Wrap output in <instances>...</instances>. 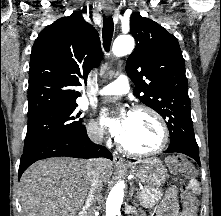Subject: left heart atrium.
Masks as SVG:
<instances>
[{"label":"left heart atrium","mask_w":221,"mask_h":216,"mask_svg":"<svg viewBox=\"0 0 221 216\" xmlns=\"http://www.w3.org/2000/svg\"><path fill=\"white\" fill-rule=\"evenodd\" d=\"M130 115L131 113L124 109L113 111L104 108L100 111V121L112 136L121 139L126 131Z\"/></svg>","instance_id":"1"}]
</instances>
